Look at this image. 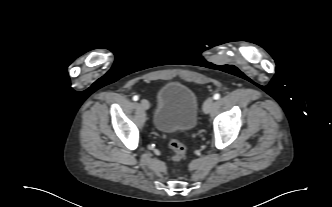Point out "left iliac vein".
Wrapping results in <instances>:
<instances>
[{
	"mask_svg": "<svg viewBox=\"0 0 332 207\" xmlns=\"http://www.w3.org/2000/svg\"><path fill=\"white\" fill-rule=\"evenodd\" d=\"M213 105H214V100L212 98H208L203 104V112L205 114H208L211 111Z\"/></svg>",
	"mask_w": 332,
	"mask_h": 207,
	"instance_id": "obj_1",
	"label": "left iliac vein"
}]
</instances>
